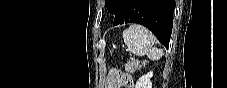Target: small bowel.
<instances>
[{
    "label": "small bowel",
    "mask_w": 227,
    "mask_h": 88,
    "mask_svg": "<svg viewBox=\"0 0 227 88\" xmlns=\"http://www.w3.org/2000/svg\"><path fill=\"white\" fill-rule=\"evenodd\" d=\"M131 81V78L128 74L120 73L118 74V77L116 78H111L108 84L109 88H120L124 87V85L128 82Z\"/></svg>",
    "instance_id": "1"
}]
</instances>
